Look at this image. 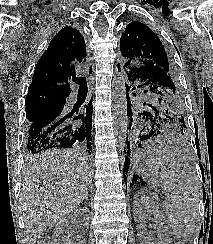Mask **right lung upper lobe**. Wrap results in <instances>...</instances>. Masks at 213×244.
Listing matches in <instances>:
<instances>
[{
  "label": "right lung upper lobe",
  "instance_id": "cb5924a9",
  "mask_svg": "<svg viewBox=\"0 0 213 244\" xmlns=\"http://www.w3.org/2000/svg\"><path fill=\"white\" fill-rule=\"evenodd\" d=\"M85 56L86 45L80 32L71 26L62 28L37 62L27 97L42 94L68 97L71 92L68 80Z\"/></svg>",
  "mask_w": 213,
  "mask_h": 244
}]
</instances>
